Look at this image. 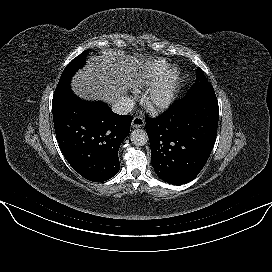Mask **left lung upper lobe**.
I'll use <instances>...</instances> for the list:
<instances>
[{"mask_svg":"<svg viewBox=\"0 0 272 272\" xmlns=\"http://www.w3.org/2000/svg\"><path fill=\"white\" fill-rule=\"evenodd\" d=\"M215 94L213 87L206 79L200 68L197 69L196 82L185 95L184 99L196 98L204 95Z\"/></svg>","mask_w":272,"mask_h":272,"instance_id":"1","label":"left lung upper lobe"}]
</instances>
